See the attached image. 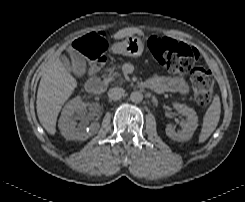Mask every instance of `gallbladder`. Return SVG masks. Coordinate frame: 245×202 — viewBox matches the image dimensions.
I'll use <instances>...</instances> for the list:
<instances>
[{"mask_svg":"<svg viewBox=\"0 0 245 202\" xmlns=\"http://www.w3.org/2000/svg\"><path fill=\"white\" fill-rule=\"evenodd\" d=\"M71 58V70L77 77H83L86 74V58L78 51L71 49L69 51Z\"/></svg>","mask_w":245,"mask_h":202,"instance_id":"bac80fb5","label":"gallbladder"}]
</instances>
